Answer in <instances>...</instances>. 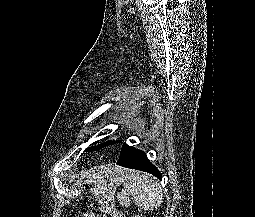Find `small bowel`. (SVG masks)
Masks as SVG:
<instances>
[{
	"label": "small bowel",
	"mask_w": 255,
	"mask_h": 217,
	"mask_svg": "<svg viewBox=\"0 0 255 217\" xmlns=\"http://www.w3.org/2000/svg\"><path fill=\"white\" fill-rule=\"evenodd\" d=\"M102 210L105 212H109L107 203L104 202V206L102 207ZM84 217H94V215L90 212H87L84 214ZM116 217H120V214H116Z\"/></svg>",
	"instance_id": "1"
}]
</instances>
